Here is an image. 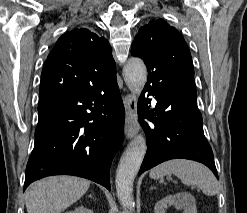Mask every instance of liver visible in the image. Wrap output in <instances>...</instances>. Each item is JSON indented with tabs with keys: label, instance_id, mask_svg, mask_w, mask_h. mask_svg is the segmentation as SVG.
I'll return each instance as SVG.
<instances>
[{
	"label": "liver",
	"instance_id": "1",
	"mask_svg": "<svg viewBox=\"0 0 247 213\" xmlns=\"http://www.w3.org/2000/svg\"><path fill=\"white\" fill-rule=\"evenodd\" d=\"M90 181L75 176H52L28 187L27 213H61L88 190Z\"/></svg>",
	"mask_w": 247,
	"mask_h": 213
}]
</instances>
